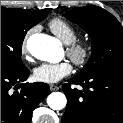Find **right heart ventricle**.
Masks as SVG:
<instances>
[{"label":"right heart ventricle","mask_w":123,"mask_h":123,"mask_svg":"<svg viewBox=\"0 0 123 123\" xmlns=\"http://www.w3.org/2000/svg\"><path fill=\"white\" fill-rule=\"evenodd\" d=\"M50 30L65 44H70L77 38V31L62 18H54L49 22Z\"/></svg>","instance_id":"right-heart-ventricle-1"}]
</instances>
